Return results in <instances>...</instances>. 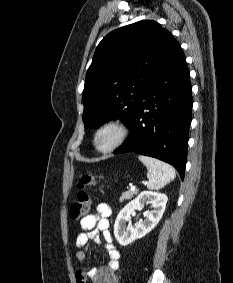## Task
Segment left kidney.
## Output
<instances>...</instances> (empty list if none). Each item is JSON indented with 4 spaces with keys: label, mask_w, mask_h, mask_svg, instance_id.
I'll use <instances>...</instances> for the list:
<instances>
[{
    "label": "left kidney",
    "mask_w": 233,
    "mask_h": 283,
    "mask_svg": "<svg viewBox=\"0 0 233 283\" xmlns=\"http://www.w3.org/2000/svg\"><path fill=\"white\" fill-rule=\"evenodd\" d=\"M168 198L165 194L143 191L136 199L128 203L118 214L114 224V235L120 245L126 246L152 231L163 216ZM145 204H151V210L144 221L136 227L131 224V215L141 210Z\"/></svg>",
    "instance_id": "obj_1"
}]
</instances>
